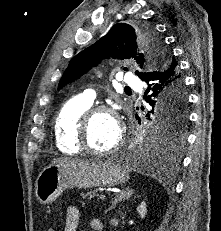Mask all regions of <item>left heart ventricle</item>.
<instances>
[{
  "instance_id": "obj_1",
  "label": "left heart ventricle",
  "mask_w": 221,
  "mask_h": 231,
  "mask_svg": "<svg viewBox=\"0 0 221 231\" xmlns=\"http://www.w3.org/2000/svg\"><path fill=\"white\" fill-rule=\"evenodd\" d=\"M118 138V128L114 118L106 113L97 114L89 126L88 141L95 150L110 148Z\"/></svg>"
}]
</instances>
